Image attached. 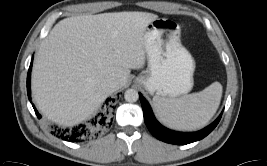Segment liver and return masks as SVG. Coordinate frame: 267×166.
I'll list each match as a JSON object with an SVG mask.
<instances>
[{
  "label": "liver",
  "instance_id": "obj_1",
  "mask_svg": "<svg viewBox=\"0 0 267 166\" xmlns=\"http://www.w3.org/2000/svg\"><path fill=\"white\" fill-rule=\"evenodd\" d=\"M156 19L152 13L124 11L58 22L41 43L32 71L41 112L64 126L87 119L111 94L107 83L116 81L120 89L131 69L145 65V32Z\"/></svg>",
  "mask_w": 267,
  "mask_h": 166
}]
</instances>
